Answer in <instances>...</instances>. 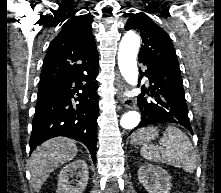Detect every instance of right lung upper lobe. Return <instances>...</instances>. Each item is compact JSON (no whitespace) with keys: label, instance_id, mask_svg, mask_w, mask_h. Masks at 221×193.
I'll return each instance as SVG.
<instances>
[{"label":"right lung upper lobe","instance_id":"right-lung-upper-lobe-1","mask_svg":"<svg viewBox=\"0 0 221 193\" xmlns=\"http://www.w3.org/2000/svg\"><path fill=\"white\" fill-rule=\"evenodd\" d=\"M97 62L98 52L89 20L84 15L68 17L49 45L39 87L85 73Z\"/></svg>","mask_w":221,"mask_h":193}]
</instances>
